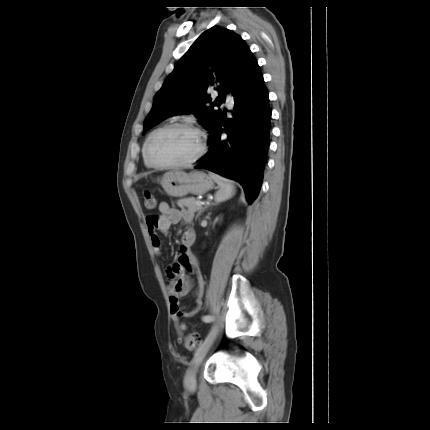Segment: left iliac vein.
Instances as JSON below:
<instances>
[{
	"label": "left iliac vein",
	"mask_w": 430,
	"mask_h": 430,
	"mask_svg": "<svg viewBox=\"0 0 430 430\" xmlns=\"http://www.w3.org/2000/svg\"><path fill=\"white\" fill-rule=\"evenodd\" d=\"M215 340V332H210L202 345L198 348L196 351L194 358L191 362V366L188 369V371L185 374L184 383L185 386L192 390L196 387V371L200 364L202 363L203 359L205 358L206 354L208 353L209 349L211 348L213 342Z\"/></svg>",
	"instance_id": "obj_1"
}]
</instances>
